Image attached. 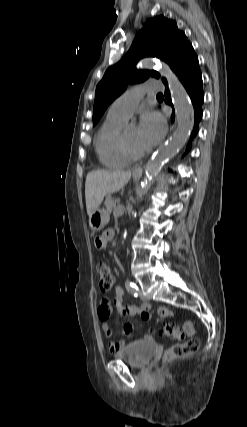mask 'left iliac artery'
I'll list each match as a JSON object with an SVG mask.
<instances>
[{
    "mask_svg": "<svg viewBox=\"0 0 247 427\" xmlns=\"http://www.w3.org/2000/svg\"><path fill=\"white\" fill-rule=\"evenodd\" d=\"M126 288H127V291L129 293H131L132 295H134V297L138 296L139 289H138V287H137V285L135 283L130 282L129 280H127L126 281Z\"/></svg>",
    "mask_w": 247,
    "mask_h": 427,
    "instance_id": "obj_1",
    "label": "left iliac artery"
}]
</instances>
